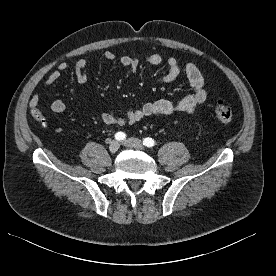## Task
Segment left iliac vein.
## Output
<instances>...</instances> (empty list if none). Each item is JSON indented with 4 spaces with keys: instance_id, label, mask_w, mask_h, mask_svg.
Masks as SVG:
<instances>
[{
    "instance_id": "1",
    "label": "left iliac vein",
    "mask_w": 276,
    "mask_h": 276,
    "mask_svg": "<svg viewBox=\"0 0 276 276\" xmlns=\"http://www.w3.org/2000/svg\"><path fill=\"white\" fill-rule=\"evenodd\" d=\"M122 143H123V145L128 146L130 148H134V149H138V150L144 149L142 141L137 138H129V139L123 141Z\"/></svg>"
}]
</instances>
